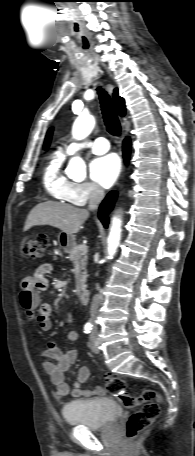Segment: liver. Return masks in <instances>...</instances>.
Returning a JSON list of instances; mask_svg holds the SVG:
<instances>
[{
	"mask_svg": "<svg viewBox=\"0 0 195 456\" xmlns=\"http://www.w3.org/2000/svg\"><path fill=\"white\" fill-rule=\"evenodd\" d=\"M88 217L89 212L86 209L46 201L39 203L30 211L24 230L27 231L33 226L50 225L68 235H73L80 230Z\"/></svg>",
	"mask_w": 195,
	"mask_h": 456,
	"instance_id": "liver-1",
	"label": "liver"
}]
</instances>
